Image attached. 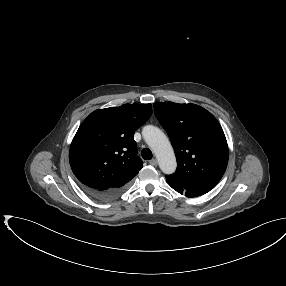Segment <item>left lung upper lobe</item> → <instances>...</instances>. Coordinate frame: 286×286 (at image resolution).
<instances>
[{
  "label": "left lung upper lobe",
  "instance_id": "left-lung-upper-lobe-1",
  "mask_svg": "<svg viewBox=\"0 0 286 286\" xmlns=\"http://www.w3.org/2000/svg\"><path fill=\"white\" fill-rule=\"evenodd\" d=\"M154 110L177 159L176 172L166 177L187 187L210 191L228 163V145L217 119L194 104L157 102Z\"/></svg>",
  "mask_w": 286,
  "mask_h": 286
}]
</instances>
